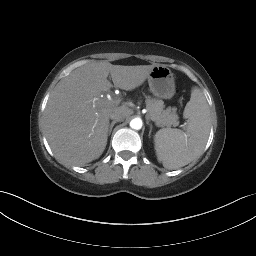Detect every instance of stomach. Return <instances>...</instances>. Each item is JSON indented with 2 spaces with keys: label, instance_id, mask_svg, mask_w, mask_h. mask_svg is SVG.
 <instances>
[{
  "label": "stomach",
  "instance_id": "stomach-1",
  "mask_svg": "<svg viewBox=\"0 0 256 256\" xmlns=\"http://www.w3.org/2000/svg\"><path fill=\"white\" fill-rule=\"evenodd\" d=\"M150 91L156 97L170 99L175 93L173 73L165 65H156L148 76Z\"/></svg>",
  "mask_w": 256,
  "mask_h": 256
}]
</instances>
